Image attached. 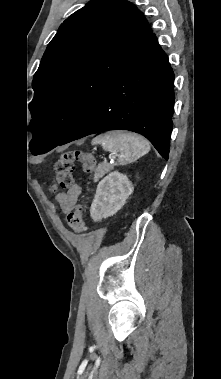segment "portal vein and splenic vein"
Wrapping results in <instances>:
<instances>
[{
	"instance_id": "portal-vein-and-splenic-vein-1",
	"label": "portal vein and splenic vein",
	"mask_w": 221,
	"mask_h": 379,
	"mask_svg": "<svg viewBox=\"0 0 221 379\" xmlns=\"http://www.w3.org/2000/svg\"><path fill=\"white\" fill-rule=\"evenodd\" d=\"M114 159H115V156H111V157H110V160H114Z\"/></svg>"
}]
</instances>
